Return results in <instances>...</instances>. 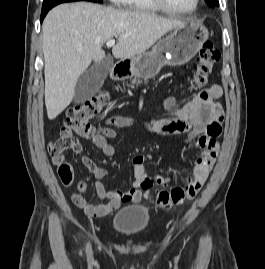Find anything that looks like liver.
Segmentation results:
<instances>
[{
	"label": "liver",
	"instance_id": "liver-1",
	"mask_svg": "<svg viewBox=\"0 0 265 269\" xmlns=\"http://www.w3.org/2000/svg\"><path fill=\"white\" fill-rule=\"evenodd\" d=\"M183 20L137 10H118L88 2L53 8L43 21L45 105L50 120L72 101L79 77L92 61L105 58L102 46L117 37L112 54L129 59L145 53Z\"/></svg>",
	"mask_w": 265,
	"mask_h": 269
}]
</instances>
